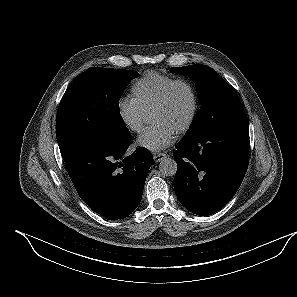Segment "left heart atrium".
I'll return each mask as SVG.
<instances>
[{"label": "left heart atrium", "instance_id": "obj_1", "mask_svg": "<svg viewBox=\"0 0 297 297\" xmlns=\"http://www.w3.org/2000/svg\"><path fill=\"white\" fill-rule=\"evenodd\" d=\"M176 133L167 125L157 122L148 127L138 138L137 145L151 151H159L175 139Z\"/></svg>", "mask_w": 297, "mask_h": 297}]
</instances>
